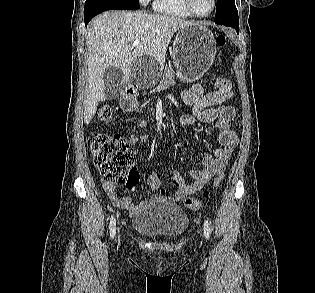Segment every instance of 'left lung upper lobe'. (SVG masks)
<instances>
[{"label": "left lung upper lobe", "mask_w": 315, "mask_h": 293, "mask_svg": "<svg viewBox=\"0 0 315 293\" xmlns=\"http://www.w3.org/2000/svg\"><path fill=\"white\" fill-rule=\"evenodd\" d=\"M215 23L239 27L238 11L234 0H217Z\"/></svg>", "instance_id": "left-lung-upper-lobe-1"}]
</instances>
